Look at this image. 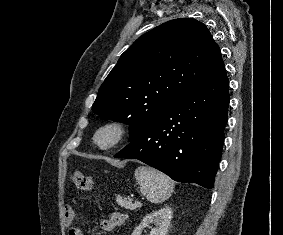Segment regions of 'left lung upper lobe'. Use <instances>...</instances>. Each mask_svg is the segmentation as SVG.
Listing matches in <instances>:
<instances>
[{"mask_svg":"<svg viewBox=\"0 0 283 235\" xmlns=\"http://www.w3.org/2000/svg\"><path fill=\"white\" fill-rule=\"evenodd\" d=\"M223 66L220 49L203 23L192 18L168 21L121 55L99 89L93 112L129 124L132 141Z\"/></svg>","mask_w":283,"mask_h":235,"instance_id":"left-lung-upper-lobe-1","label":"left lung upper lobe"}]
</instances>
